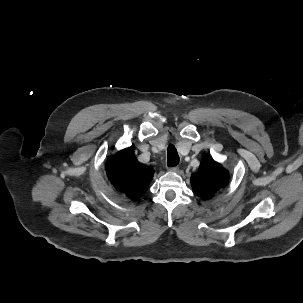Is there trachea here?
Wrapping results in <instances>:
<instances>
[{
    "label": "trachea",
    "mask_w": 303,
    "mask_h": 303,
    "mask_svg": "<svg viewBox=\"0 0 303 303\" xmlns=\"http://www.w3.org/2000/svg\"><path fill=\"white\" fill-rule=\"evenodd\" d=\"M179 163V155L177 153L174 145L168 146V161L167 164L169 167H175Z\"/></svg>",
    "instance_id": "1"
}]
</instances>
